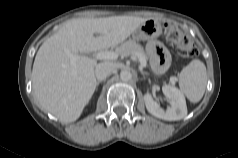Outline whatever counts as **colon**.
Returning a JSON list of instances; mask_svg holds the SVG:
<instances>
[{"label": "colon", "mask_w": 238, "mask_h": 158, "mask_svg": "<svg viewBox=\"0 0 238 158\" xmlns=\"http://www.w3.org/2000/svg\"><path fill=\"white\" fill-rule=\"evenodd\" d=\"M164 31L168 42L176 47L177 53L184 58H194L198 50L194 43L175 25L166 23Z\"/></svg>", "instance_id": "5ec220e1"}]
</instances>
